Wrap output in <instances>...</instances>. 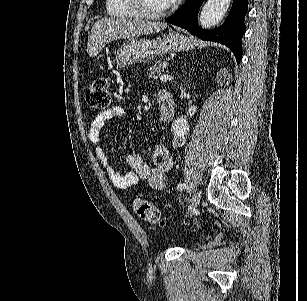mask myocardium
Returning <instances> with one entry per match:
<instances>
[{
  "instance_id": "1",
  "label": "myocardium",
  "mask_w": 307,
  "mask_h": 301,
  "mask_svg": "<svg viewBox=\"0 0 307 301\" xmlns=\"http://www.w3.org/2000/svg\"><path fill=\"white\" fill-rule=\"evenodd\" d=\"M147 6L145 0H129L128 11L134 12L133 17H139L143 22H158V18L169 17L172 4H162L156 11H142Z\"/></svg>"
}]
</instances>
